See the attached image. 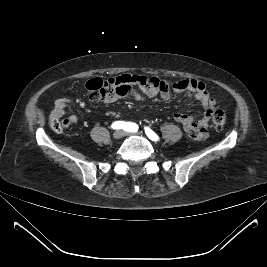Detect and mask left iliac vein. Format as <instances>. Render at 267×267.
<instances>
[{"label":"left iliac vein","mask_w":267,"mask_h":267,"mask_svg":"<svg viewBox=\"0 0 267 267\" xmlns=\"http://www.w3.org/2000/svg\"><path fill=\"white\" fill-rule=\"evenodd\" d=\"M125 135L127 136H131V135H137V136H141L142 133L141 132H135V133H131V132H126Z\"/></svg>","instance_id":"left-iliac-vein-1"}]
</instances>
